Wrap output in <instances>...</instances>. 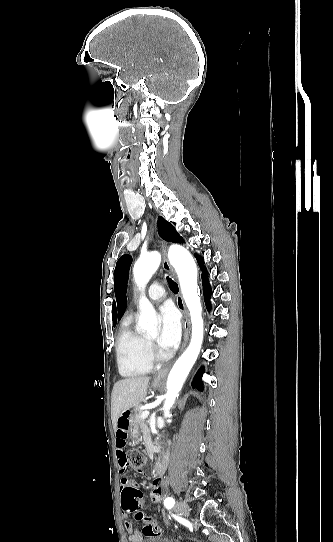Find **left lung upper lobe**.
<instances>
[{"mask_svg":"<svg viewBox=\"0 0 333 542\" xmlns=\"http://www.w3.org/2000/svg\"><path fill=\"white\" fill-rule=\"evenodd\" d=\"M158 231L161 238L169 242L183 243V238L176 232L173 225L162 217L158 218ZM132 263L130 255H123L116 263L115 267V295L118 303V319L120 320L127 306V281L129 269Z\"/></svg>","mask_w":333,"mask_h":542,"instance_id":"obj_1","label":"left lung upper lobe"}]
</instances>
